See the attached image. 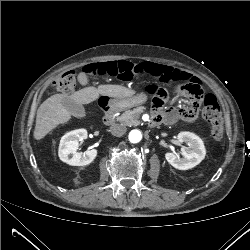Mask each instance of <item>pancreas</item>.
<instances>
[{"label":"pancreas","mask_w":250,"mask_h":250,"mask_svg":"<svg viewBox=\"0 0 250 250\" xmlns=\"http://www.w3.org/2000/svg\"><path fill=\"white\" fill-rule=\"evenodd\" d=\"M145 110V107L140 106L134 108L133 110L125 111L120 117H118V121L127 126H136L139 124L140 114Z\"/></svg>","instance_id":"pancreas-1"}]
</instances>
